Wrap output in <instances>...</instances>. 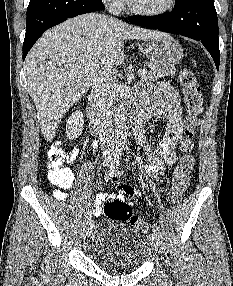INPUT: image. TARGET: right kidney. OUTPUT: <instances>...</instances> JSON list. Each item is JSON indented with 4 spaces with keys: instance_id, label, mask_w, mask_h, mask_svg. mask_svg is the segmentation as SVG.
Segmentation results:
<instances>
[{
    "instance_id": "obj_1",
    "label": "right kidney",
    "mask_w": 233,
    "mask_h": 286,
    "mask_svg": "<svg viewBox=\"0 0 233 286\" xmlns=\"http://www.w3.org/2000/svg\"><path fill=\"white\" fill-rule=\"evenodd\" d=\"M84 126V116L80 110H76L68 118L66 123L67 137L72 140L78 138L82 134Z\"/></svg>"
}]
</instances>
